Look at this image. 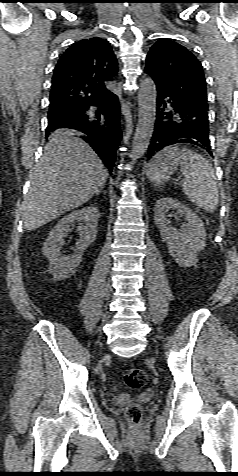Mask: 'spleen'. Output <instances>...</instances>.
Listing matches in <instances>:
<instances>
[{
  "instance_id": "spleen-1",
  "label": "spleen",
  "mask_w": 238,
  "mask_h": 476,
  "mask_svg": "<svg viewBox=\"0 0 238 476\" xmlns=\"http://www.w3.org/2000/svg\"><path fill=\"white\" fill-rule=\"evenodd\" d=\"M181 162L180 171L184 176V194L198 207L213 212L219 202L215 171L210 161L189 149L178 151Z\"/></svg>"
}]
</instances>
